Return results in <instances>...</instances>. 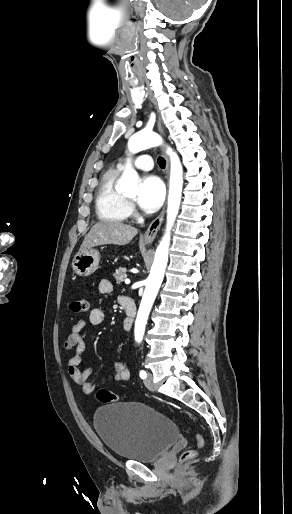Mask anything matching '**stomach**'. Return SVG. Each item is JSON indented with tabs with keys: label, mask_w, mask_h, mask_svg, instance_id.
<instances>
[{
	"label": "stomach",
	"mask_w": 292,
	"mask_h": 514,
	"mask_svg": "<svg viewBox=\"0 0 292 514\" xmlns=\"http://www.w3.org/2000/svg\"><path fill=\"white\" fill-rule=\"evenodd\" d=\"M144 244H151V242H144ZM100 262V254L98 250H83L78 252L72 260V270L77 276H91L98 270Z\"/></svg>",
	"instance_id": "obj_1"
}]
</instances>
